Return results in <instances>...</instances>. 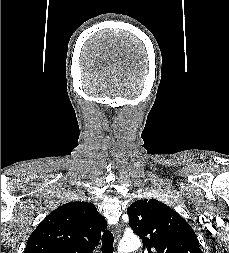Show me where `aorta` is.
Wrapping results in <instances>:
<instances>
[{"label":"aorta","instance_id":"aorta-1","mask_svg":"<svg viewBox=\"0 0 229 253\" xmlns=\"http://www.w3.org/2000/svg\"><path fill=\"white\" fill-rule=\"evenodd\" d=\"M140 245L141 242L137 237L123 239L119 244L118 251L119 253H129L138 249Z\"/></svg>","mask_w":229,"mask_h":253}]
</instances>
